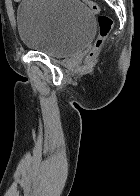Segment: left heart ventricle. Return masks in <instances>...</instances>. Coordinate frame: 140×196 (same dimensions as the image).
Returning <instances> with one entry per match:
<instances>
[{
    "label": "left heart ventricle",
    "instance_id": "b2bd125f",
    "mask_svg": "<svg viewBox=\"0 0 140 196\" xmlns=\"http://www.w3.org/2000/svg\"><path fill=\"white\" fill-rule=\"evenodd\" d=\"M44 192H55V191H44Z\"/></svg>",
    "mask_w": 140,
    "mask_h": 196
}]
</instances>
